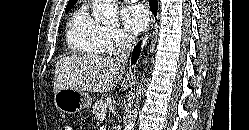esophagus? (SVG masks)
Instances as JSON below:
<instances>
[{"label": "esophagus", "instance_id": "1", "mask_svg": "<svg viewBox=\"0 0 249 130\" xmlns=\"http://www.w3.org/2000/svg\"><path fill=\"white\" fill-rule=\"evenodd\" d=\"M153 23H154V18L152 17V18H151V21H150V26H149V28H148V30H147L145 36H144V39H147L148 36L150 35V32H151L152 27H153Z\"/></svg>", "mask_w": 249, "mask_h": 130}]
</instances>
